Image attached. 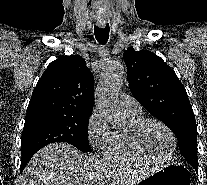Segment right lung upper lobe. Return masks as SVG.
<instances>
[{
	"instance_id": "obj_1",
	"label": "right lung upper lobe",
	"mask_w": 207,
	"mask_h": 185,
	"mask_svg": "<svg viewBox=\"0 0 207 185\" xmlns=\"http://www.w3.org/2000/svg\"><path fill=\"white\" fill-rule=\"evenodd\" d=\"M94 77L79 55L51 62L34 89L29 113H57L90 117L94 105Z\"/></svg>"
}]
</instances>
